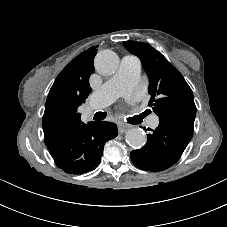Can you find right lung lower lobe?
I'll list each match as a JSON object with an SVG mask.
<instances>
[{
	"instance_id": "1",
	"label": "right lung lower lobe",
	"mask_w": 227,
	"mask_h": 227,
	"mask_svg": "<svg viewBox=\"0 0 227 227\" xmlns=\"http://www.w3.org/2000/svg\"><path fill=\"white\" fill-rule=\"evenodd\" d=\"M111 122H90L71 135L54 142L48 150L55 164L69 174L94 170L100 163L106 141L117 136Z\"/></svg>"
}]
</instances>
